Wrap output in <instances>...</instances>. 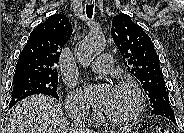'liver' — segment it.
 Segmentation results:
<instances>
[{
	"instance_id": "1",
	"label": "liver",
	"mask_w": 184,
	"mask_h": 133,
	"mask_svg": "<svg viewBox=\"0 0 184 133\" xmlns=\"http://www.w3.org/2000/svg\"><path fill=\"white\" fill-rule=\"evenodd\" d=\"M5 133H73L61 105L52 97L33 95L8 112Z\"/></svg>"
}]
</instances>
